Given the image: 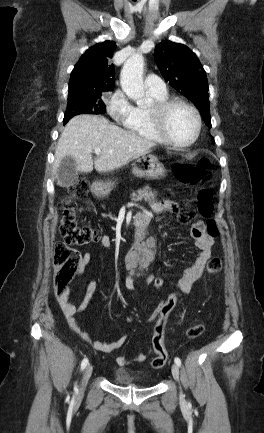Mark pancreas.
Returning a JSON list of instances; mask_svg holds the SVG:
<instances>
[{
    "instance_id": "cf45deb5",
    "label": "pancreas",
    "mask_w": 264,
    "mask_h": 433,
    "mask_svg": "<svg viewBox=\"0 0 264 433\" xmlns=\"http://www.w3.org/2000/svg\"><path fill=\"white\" fill-rule=\"evenodd\" d=\"M156 192L151 191L149 186L139 189L132 194V199L135 201L145 200L147 202L155 200Z\"/></svg>"
}]
</instances>
